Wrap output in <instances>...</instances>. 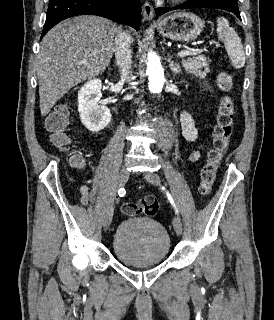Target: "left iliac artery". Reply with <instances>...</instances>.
<instances>
[{
    "instance_id": "obj_1",
    "label": "left iliac artery",
    "mask_w": 274,
    "mask_h": 320,
    "mask_svg": "<svg viewBox=\"0 0 274 320\" xmlns=\"http://www.w3.org/2000/svg\"><path fill=\"white\" fill-rule=\"evenodd\" d=\"M167 197H168L170 203H171V204L173 205V207L175 208L176 212L178 213V209L176 208V205H175V203H174V200H173L171 194L168 193V192H167Z\"/></svg>"
}]
</instances>
